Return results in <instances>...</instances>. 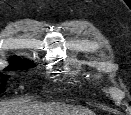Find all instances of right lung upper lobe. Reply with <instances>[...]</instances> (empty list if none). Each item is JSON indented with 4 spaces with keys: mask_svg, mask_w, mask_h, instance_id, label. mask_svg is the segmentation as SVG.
I'll return each mask as SVG.
<instances>
[{
    "mask_svg": "<svg viewBox=\"0 0 131 115\" xmlns=\"http://www.w3.org/2000/svg\"><path fill=\"white\" fill-rule=\"evenodd\" d=\"M19 60H21L19 57L12 58V63H13V65H14V63H17ZM13 65H12V66H13ZM12 66L7 67L6 70H8L9 68H11Z\"/></svg>",
    "mask_w": 131,
    "mask_h": 115,
    "instance_id": "cb5924a9",
    "label": "right lung upper lobe"
}]
</instances>
